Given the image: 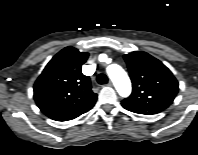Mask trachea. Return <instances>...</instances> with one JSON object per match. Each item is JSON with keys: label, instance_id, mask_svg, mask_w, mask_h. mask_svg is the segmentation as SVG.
I'll use <instances>...</instances> for the list:
<instances>
[{"label": "trachea", "instance_id": "obj_1", "mask_svg": "<svg viewBox=\"0 0 198 155\" xmlns=\"http://www.w3.org/2000/svg\"><path fill=\"white\" fill-rule=\"evenodd\" d=\"M97 82L101 85L106 84L108 82V78L105 74H99L97 76Z\"/></svg>", "mask_w": 198, "mask_h": 155}]
</instances>
